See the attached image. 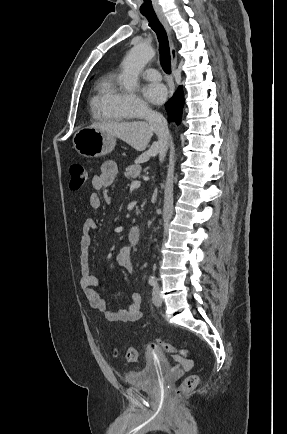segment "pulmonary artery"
I'll list each match as a JSON object with an SVG mask.
<instances>
[{
	"instance_id": "e3ab8cb5",
	"label": "pulmonary artery",
	"mask_w": 287,
	"mask_h": 434,
	"mask_svg": "<svg viewBox=\"0 0 287 434\" xmlns=\"http://www.w3.org/2000/svg\"><path fill=\"white\" fill-rule=\"evenodd\" d=\"M142 76H143L145 79L153 80V81H156V80H160V79H161V75H160V73H159L156 69H153V68L145 69V70L142 72Z\"/></svg>"
}]
</instances>
